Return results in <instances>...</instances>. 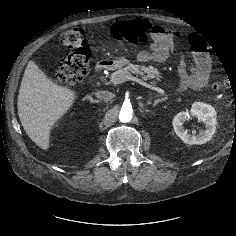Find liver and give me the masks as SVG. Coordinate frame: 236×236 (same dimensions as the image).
I'll return each mask as SVG.
<instances>
[{"label": "liver", "instance_id": "6515ba94", "mask_svg": "<svg viewBox=\"0 0 236 236\" xmlns=\"http://www.w3.org/2000/svg\"><path fill=\"white\" fill-rule=\"evenodd\" d=\"M77 99V93L49 79L34 61L25 69L19 94L18 115L30 137L43 150L50 147L51 131Z\"/></svg>", "mask_w": 236, "mask_h": 236}]
</instances>
